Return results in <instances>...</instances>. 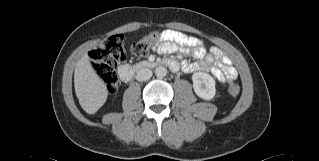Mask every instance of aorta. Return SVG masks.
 <instances>
[{
	"label": "aorta",
	"mask_w": 319,
	"mask_h": 161,
	"mask_svg": "<svg viewBox=\"0 0 319 161\" xmlns=\"http://www.w3.org/2000/svg\"><path fill=\"white\" fill-rule=\"evenodd\" d=\"M155 75L158 78H163L167 75V69L163 66H159L155 69Z\"/></svg>",
	"instance_id": "obj_1"
}]
</instances>
